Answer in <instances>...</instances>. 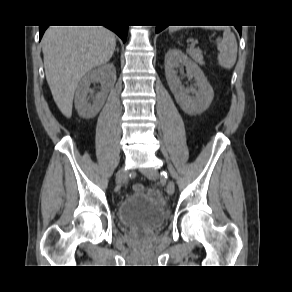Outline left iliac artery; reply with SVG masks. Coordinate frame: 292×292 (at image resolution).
Wrapping results in <instances>:
<instances>
[{"mask_svg":"<svg viewBox=\"0 0 292 292\" xmlns=\"http://www.w3.org/2000/svg\"><path fill=\"white\" fill-rule=\"evenodd\" d=\"M161 175L167 178V173L165 171L161 172Z\"/></svg>","mask_w":292,"mask_h":292,"instance_id":"left-iliac-artery-1","label":"left iliac artery"}]
</instances>
